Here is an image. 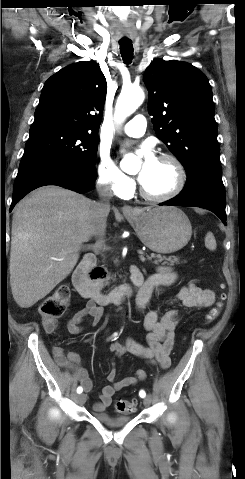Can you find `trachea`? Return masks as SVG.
<instances>
[{
	"label": "trachea",
	"mask_w": 245,
	"mask_h": 479,
	"mask_svg": "<svg viewBox=\"0 0 245 479\" xmlns=\"http://www.w3.org/2000/svg\"><path fill=\"white\" fill-rule=\"evenodd\" d=\"M120 44V53L123 61L126 64L131 63L133 59V44L130 40L119 41Z\"/></svg>",
	"instance_id": "obj_1"
}]
</instances>
